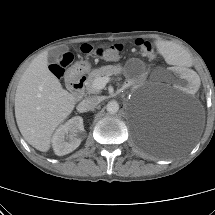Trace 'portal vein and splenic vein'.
I'll return each instance as SVG.
<instances>
[{"label": "portal vein and splenic vein", "instance_id": "portal-vein-and-splenic-vein-1", "mask_svg": "<svg viewBox=\"0 0 215 215\" xmlns=\"http://www.w3.org/2000/svg\"><path fill=\"white\" fill-rule=\"evenodd\" d=\"M110 81V78L108 76L105 77H98L93 82V87L97 90L103 89L106 84Z\"/></svg>", "mask_w": 215, "mask_h": 215}]
</instances>
